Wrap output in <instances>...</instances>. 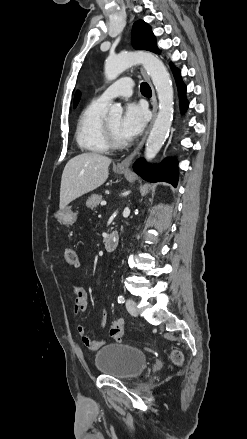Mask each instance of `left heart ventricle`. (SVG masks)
I'll return each instance as SVG.
<instances>
[{"mask_svg":"<svg viewBox=\"0 0 247 439\" xmlns=\"http://www.w3.org/2000/svg\"><path fill=\"white\" fill-rule=\"evenodd\" d=\"M107 120H108L110 127H111L112 131L114 132L116 138L120 141H124V138L121 136V134L119 132V124H120L121 118L119 116H116V117H111Z\"/></svg>","mask_w":247,"mask_h":439,"instance_id":"1","label":"left heart ventricle"}]
</instances>
